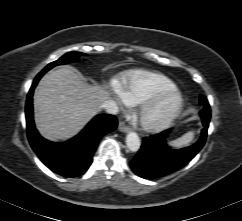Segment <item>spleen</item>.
Returning a JSON list of instances; mask_svg holds the SVG:
<instances>
[{"mask_svg": "<svg viewBox=\"0 0 242 221\" xmlns=\"http://www.w3.org/2000/svg\"><path fill=\"white\" fill-rule=\"evenodd\" d=\"M193 138H194V132L189 131L185 133L183 136H181L180 138L170 141L169 145L175 148H180L188 145L193 140Z\"/></svg>", "mask_w": 242, "mask_h": 221, "instance_id": "3e777b00", "label": "spleen"}]
</instances>
